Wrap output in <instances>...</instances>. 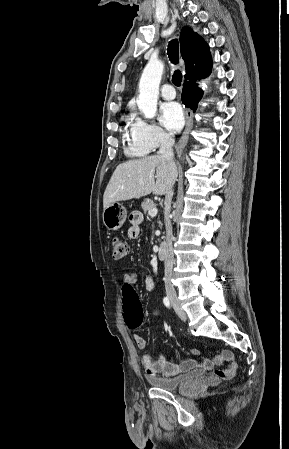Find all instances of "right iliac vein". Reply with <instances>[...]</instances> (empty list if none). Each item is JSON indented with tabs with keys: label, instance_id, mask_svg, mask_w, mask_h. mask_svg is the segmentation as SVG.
Instances as JSON below:
<instances>
[{
	"label": "right iliac vein",
	"instance_id": "63e3f726",
	"mask_svg": "<svg viewBox=\"0 0 289 449\" xmlns=\"http://www.w3.org/2000/svg\"><path fill=\"white\" fill-rule=\"evenodd\" d=\"M168 298L171 302V304L173 305L175 311L177 312V314L179 315V317L183 320H186V314L183 311V309L181 308V305L177 299L176 294L169 292L168 293Z\"/></svg>",
	"mask_w": 289,
	"mask_h": 449
}]
</instances>
